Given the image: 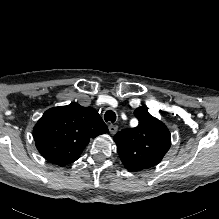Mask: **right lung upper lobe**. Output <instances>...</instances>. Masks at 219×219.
I'll use <instances>...</instances> for the list:
<instances>
[{
  "label": "right lung upper lobe",
  "mask_w": 219,
  "mask_h": 219,
  "mask_svg": "<svg viewBox=\"0 0 219 219\" xmlns=\"http://www.w3.org/2000/svg\"><path fill=\"white\" fill-rule=\"evenodd\" d=\"M108 132L98 112L73 102L47 110L33 129L36 147L49 162L65 166L76 161L91 138Z\"/></svg>",
  "instance_id": "1"
}]
</instances>
